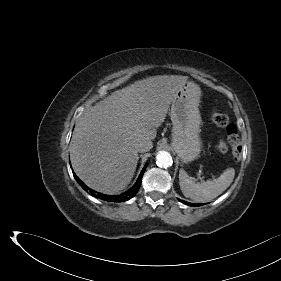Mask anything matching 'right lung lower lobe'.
I'll use <instances>...</instances> for the list:
<instances>
[{
    "label": "right lung lower lobe",
    "mask_w": 281,
    "mask_h": 281,
    "mask_svg": "<svg viewBox=\"0 0 281 281\" xmlns=\"http://www.w3.org/2000/svg\"><path fill=\"white\" fill-rule=\"evenodd\" d=\"M147 165L142 169L139 178L137 180V182L134 184V186L132 188H130L128 191H126L125 193L121 194V195H116V196H110V195H105L102 193H97L94 190H91L90 188H88L86 185H84V183L75 175L74 173V178L76 179V181L80 184V186L86 191V192H90V194L94 197H98L102 200L105 201H109V202H124L129 200L131 197L135 196L140 185H141V181H142V177L143 174L146 170Z\"/></svg>",
    "instance_id": "obj_1"
}]
</instances>
